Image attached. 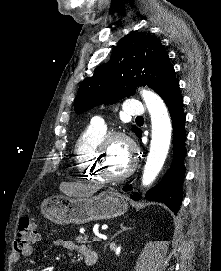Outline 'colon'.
Here are the masks:
<instances>
[{"label":"colon","mask_w":221,"mask_h":271,"mask_svg":"<svg viewBox=\"0 0 221 271\" xmlns=\"http://www.w3.org/2000/svg\"><path fill=\"white\" fill-rule=\"evenodd\" d=\"M39 238V223L27 217H23L15 238V250L22 252L34 245Z\"/></svg>","instance_id":"colon-1"}]
</instances>
